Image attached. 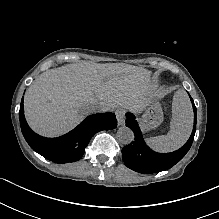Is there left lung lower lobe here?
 <instances>
[{"mask_svg": "<svg viewBox=\"0 0 219 219\" xmlns=\"http://www.w3.org/2000/svg\"><path fill=\"white\" fill-rule=\"evenodd\" d=\"M190 99L194 110V127L192 134L183 147L171 153H158L151 150L144 142L135 116L131 113L126 114V126L129 127L135 135L134 142L122 149V158L128 168L142 174L161 172L170 169L185 156L192 145L197 123L196 107L193 99L191 97Z\"/></svg>", "mask_w": 219, "mask_h": 219, "instance_id": "left-lung-lower-lobe-1", "label": "left lung lower lobe"}]
</instances>
